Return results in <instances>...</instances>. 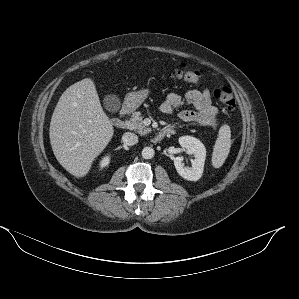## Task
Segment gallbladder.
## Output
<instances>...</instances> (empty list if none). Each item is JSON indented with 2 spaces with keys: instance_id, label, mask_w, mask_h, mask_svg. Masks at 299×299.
<instances>
[{
  "instance_id": "1",
  "label": "gallbladder",
  "mask_w": 299,
  "mask_h": 299,
  "mask_svg": "<svg viewBox=\"0 0 299 299\" xmlns=\"http://www.w3.org/2000/svg\"><path fill=\"white\" fill-rule=\"evenodd\" d=\"M103 105L109 112H117L120 109L121 101L115 94H108L104 97Z\"/></svg>"
}]
</instances>
